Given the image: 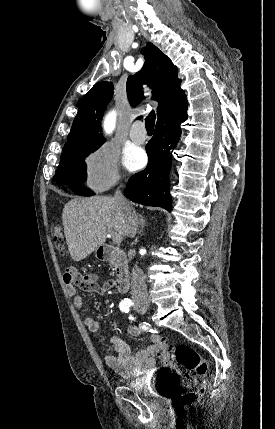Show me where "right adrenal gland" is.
<instances>
[{
	"mask_svg": "<svg viewBox=\"0 0 275 429\" xmlns=\"http://www.w3.org/2000/svg\"><path fill=\"white\" fill-rule=\"evenodd\" d=\"M139 217V230H138V234L141 235L143 232V228L146 224V219L143 218L142 214H138Z\"/></svg>",
	"mask_w": 275,
	"mask_h": 429,
	"instance_id": "obj_1",
	"label": "right adrenal gland"
}]
</instances>
